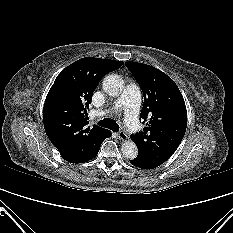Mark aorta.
<instances>
[{
    "instance_id": "obj_1",
    "label": "aorta",
    "mask_w": 233,
    "mask_h": 233,
    "mask_svg": "<svg viewBox=\"0 0 233 233\" xmlns=\"http://www.w3.org/2000/svg\"><path fill=\"white\" fill-rule=\"evenodd\" d=\"M103 90L110 96H118L123 90V80L118 75H108L103 80ZM121 152L127 159H134L138 148L132 140H126L121 145Z\"/></svg>"
}]
</instances>
